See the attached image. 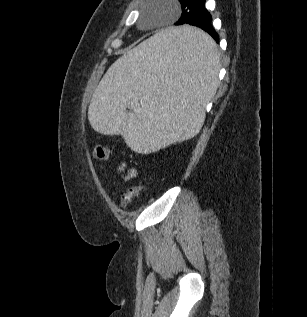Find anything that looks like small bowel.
<instances>
[{
  "label": "small bowel",
  "mask_w": 307,
  "mask_h": 317,
  "mask_svg": "<svg viewBox=\"0 0 307 317\" xmlns=\"http://www.w3.org/2000/svg\"><path fill=\"white\" fill-rule=\"evenodd\" d=\"M118 170L125 173L124 179L126 181L134 178L136 176V174H137L136 169H134V168H126L125 164H121L118 167Z\"/></svg>",
  "instance_id": "1"
}]
</instances>
